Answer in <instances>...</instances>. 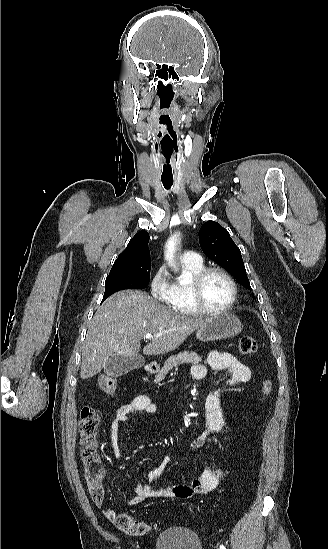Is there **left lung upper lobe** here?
Returning a JSON list of instances; mask_svg holds the SVG:
<instances>
[{"label":"left lung upper lobe","mask_w":328,"mask_h":549,"mask_svg":"<svg viewBox=\"0 0 328 549\" xmlns=\"http://www.w3.org/2000/svg\"><path fill=\"white\" fill-rule=\"evenodd\" d=\"M199 241L209 258L234 275L244 287L251 289L240 249L225 228L209 220L200 230Z\"/></svg>","instance_id":"obj_1"}]
</instances>
